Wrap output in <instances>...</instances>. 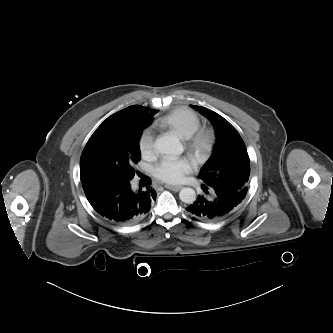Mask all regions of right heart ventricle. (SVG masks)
<instances>
[{"mask_svg": "<svg viewBox=\"0 0 333 333\" xmlns=\"http://www.w3.org/2000/svg\"><path fill=\"white\" fill-rule=\"evenodd\" d=\"M200 124L198 115L186 108L174 109L158 122L161 128L175 132L182 139L192 136L199 129Z\"/></svg>", "mask_w": 333, "mask_h": 333, "instance_id": "right-heart-ventricle-1", "label": "right heart ventricle"}]
</instances>
